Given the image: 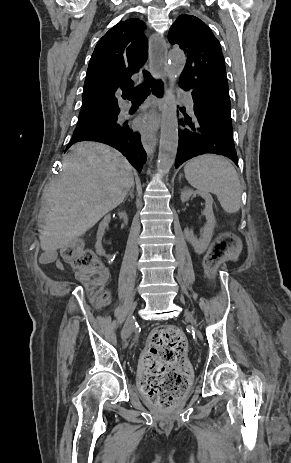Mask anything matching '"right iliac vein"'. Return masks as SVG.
<instances>
[{"instance_id":"1","label":"right iliac vein","mask_w":291,"mask_h":463,"mask_svg":"<svg viewBox=\"0 0 291 463\" xmlns=\"http://www.w3.org/2000/svg\"><path fill=\"white\" fill-rule=\"evenodd\" d=\"M135 308H136V302H134L132 304V306L130 307V310L128 312V315H127V318H126V321H125V324H124V327H123V330H122V333H121V337H122L123 341H126V339L130 336V334L132 332L133 314H134Z\"/></svg>"}]
</instances>
